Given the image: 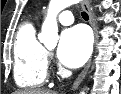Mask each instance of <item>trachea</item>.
<instances>
[{"mask_svg": "<svg viewBox=\"0 0 121 94\" xmlns=\"http://www.w3.org/2000/svg\"><path fill=\"white\" fill-rule=\"evenodd\" d=\"M81 15H82V18L84 20H88L89 17H88V14L86 12H82Z\"/></svg>", "mask_w": 121, "mask_h": 94, "instance_id": "1", "label": "trachea"}]
</instances>
